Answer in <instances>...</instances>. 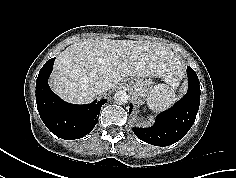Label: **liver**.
<instances>
[{"instance_id": "obj_1", "label": "liver", "mask_w": 236, "mask_h": 178, "mask_svg": "<svg viewBox=\"0 0 236 178\" xmlns=\"http://www.w3.org/2000/svg\"><path fill=\"white\" fill-rule=\"evenodd\" d=\"M182 64L170 48L151 41L84 39L67 47L55 60L50 86L64 100L87 103L96 83L115 87L125 76L177 81Z\"/></svg>"}]
</instances>
